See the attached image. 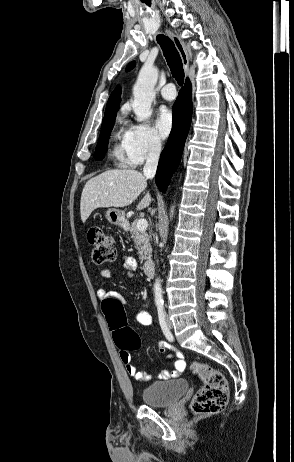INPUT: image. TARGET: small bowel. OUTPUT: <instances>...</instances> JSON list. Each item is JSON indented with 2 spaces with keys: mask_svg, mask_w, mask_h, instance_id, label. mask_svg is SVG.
Instances as JSON below:
<instances>
[{
  "mask_svg": "<svg viewBox=\"0 0 294 462\" xmlns=\"http://www.w3.org/2000/svg\"><path fill=\"white\" fill-rule=\"evenodd\" d=\"M122 268L126 270L129 274H131L137 269V261L131 256H123L122 257ZM100 274L106 278L113 276V272L109 269H102L100 271ZM108 294L110 293L104 289H99L97 291V295L99 298H104ZM135 319H136V322L142 326H148L152 322V317L150 313L143 309L137 312ZM171 348H172L171 345L167 342H161L159 344V349L161 352L170 350ZM176 357H177V360L174 362V369L171 372H169L168 370H161L158 376L160 379H167L169 377H177L184 372L186 368V362L184 360L183 353L180 351H176ZM120 359L125 365V369L127 373L131 377H133L136 381L145 382L151 378V376L147 372L139 371L136 368V366L131 362V355L129 351L121 350Z\"/></svg>",
  "mask_w": 294,
  "mask_h": 462,
  "instance_id": "obj_1",
  "label": "small bowel"
}]
</instances>
